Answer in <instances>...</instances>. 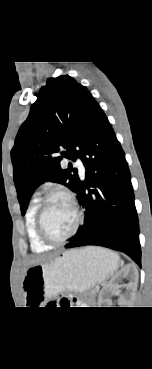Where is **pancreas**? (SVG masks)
<instances>
[{
  "mask_svg": "<svg viewBox=\"0 0 152 369\" xmlns=\"http://www.w3.org/2000/svg\"><path fill=\"white\" fill-rule=\"evenodd\" d=\"M96 293H97V291L96 290H91L90 292H89V296H90V299L89 300H91V301H94L95 300V296H96Z\"/></svg>",
  "mask_w": 152,
  "mask_h": 369,
  "instance_id": "1",
  "label": "pancreas"
}]
</instances>
